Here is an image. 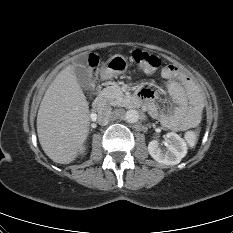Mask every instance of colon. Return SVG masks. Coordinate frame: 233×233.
Here are the masks:
<instances>
[{
  "instance_id": "obj_1",
  "label": "colon",
  "mask_w": 233,
  "mask_h": 233,
  "mask_svg": "<svg viewBox=\"0 0 233 233\" xmlns=\"http://www.w3.org/2000/svg\"><path fill=\"white\" fill-rule=\"evenodd\" d=\"M133 59L137 66L147 73H153L161 65V60L159 57L143 50H135L133 52ZM185 140L188 145H194L197 140L196 132H187L185 134Z\"/></svg>"
}]
</instances>
